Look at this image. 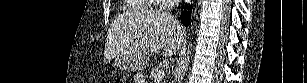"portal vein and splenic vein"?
<instances>
[{
	"label": "portal vein and splenic vein",
	"instance_id": "1",
	"mask_svg": "<svg viewBox=\"0 0 307 83\" xmlns=\"http://www.w3.org/2000/svg\"><path fill=\"white\" fill-rule=\"evenodd\" d=\"M165 73L163 70H160L154 80L155 83H159L160 80H162V78L164 77Z\"/></svg>",
	"mask_w": 307,
	"mask_h": 83
}]
</instances>
